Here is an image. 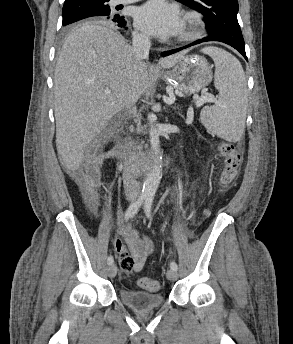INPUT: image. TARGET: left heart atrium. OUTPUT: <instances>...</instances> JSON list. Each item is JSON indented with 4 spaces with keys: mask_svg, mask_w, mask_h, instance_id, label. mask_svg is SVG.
<instances>
[{
    "mask_svg": "<svg viewBox=\"0 0 293 344\" xmlns=\"http://www.w3.org/2000/svg\"><path fill=\"white\" fill-rule=\"evenodd\" d=\"M135 26L157 38H168L179 34L183 20L178 8L165 0H151L137 9Z\"/></svg>",
    "mask_w": 293,
    "mask_h": 344,
    "instance_id": "left-heart-atrium-1",
    "label": "left heart atrium"
}]
</instances>
